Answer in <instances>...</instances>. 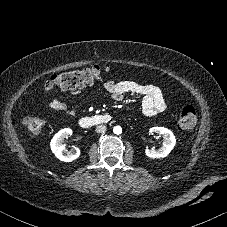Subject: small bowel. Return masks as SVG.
Wrapping results in <instances>:
<instances>
[{
  "mask_svg": "<svg viewBox=\"0 0 227 227\" xmlns=\"http://www.w3.org/2000/svg\"><path fill=\"white\" fill-rule=\"evenodd\" d=\"M105 90L110 94L111 98L120 101L128 94H136L142 97V111L147 116H154L163 112L166 108V104L163 98L161 89L158 86L151 84H140L135 81H120L116 82L109 80L104 84ZM53 89V82L47 81L44 86V93L46 96H50ZM73 95H81L82 90L72 92ZM48 108L54 111L65 113L68 116H73V110L62 99L49 98Z\"/></svg>",
  "mask_w": 227,
  "mask_h": 227,
  "instance_id": "obj_1",
  "label": "small bowel"
}]
</instances>
